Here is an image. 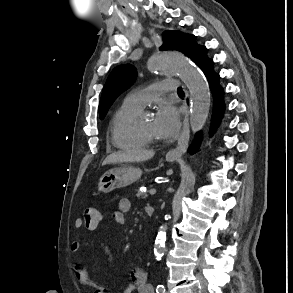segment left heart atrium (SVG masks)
I'll list each match as a JSON object with an SVG mask.
<instances>
[{"instance_id":"39dd6f15","label":"left heart atrium","mask_w":293,"mask_h":293,"mask_svg":"<svg viewBox=\"0 0 293 293\" xmlns=\"http://www.w3.org/2000/svg\"><path fill=\"white\" fill-rule=\"evenodd\" d=\"M180 126L178 109L169 103L163 104L155 118V129L161 138H170L176 135Z\"/></svg>"}]
</instances>
